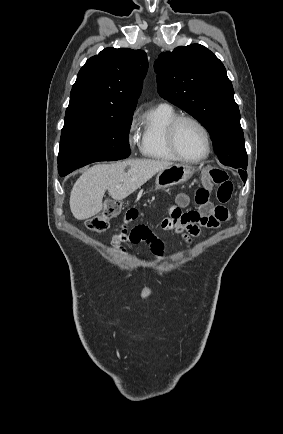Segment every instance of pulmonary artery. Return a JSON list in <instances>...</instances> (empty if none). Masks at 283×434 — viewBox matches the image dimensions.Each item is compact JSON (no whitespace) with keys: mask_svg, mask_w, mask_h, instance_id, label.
Returning <instances> with one entry per match:
<instances>
[{"mask_svg":"<svg viewBox=\"0 0 283 434\" xmlns=\"http://www.w3.org/2000/svg\"><path fill=\"white\" fill-rule=\"evenodd\" d=\"M160 105H168L167 103H161Z\"/></svg>","mask_w":283,"mask_h":434,"instance_id":"obj_1","label":"pulmonary artery"}]
</instances>
